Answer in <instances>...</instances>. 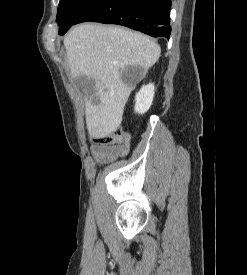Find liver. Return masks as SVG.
Instances as JSON below:
<instances>
[{
    "instance_id": "1",
    "label": "liver",
    "mask_w": 247,
    "mask_h": 275,
    "mask_svg": "<svg viewBox=\"0 0 247 275\" xmlns=\"http://www.w3.org/2000/svg\"><path fill=\"white\" fill-rule=\"evenodd\" d=\"M72 78L95 80L96 92L86 100V126L90 137L104 138L122 122L125 104L134 85L122 79L127 67H141L143 74L159 59L160 46L150 37L117 26L82 24L65 38Z\"/></svg>"
}]
</instances>
